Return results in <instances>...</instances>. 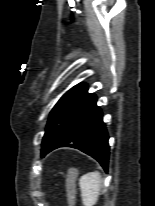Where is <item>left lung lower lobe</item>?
<instances>
[{
    "mask_svg": "<svg viewBox=\"0 0 155 206\" xmlns=\"http://www.w3.org/2000/svg\"><path fill=\"white\" fill-rule=\"evenodd\" d=\"M59 147H72L92 156L105 171L108 170V133L103 122L102 112L96 103L49 148L42 151L44 157Z\"/></svg>",
    "mask_w": 155,
    "mask_h": 206,
    "instance_id": "0a47b994",
    "label": "left lung lower lobe"
}]
</instances>
